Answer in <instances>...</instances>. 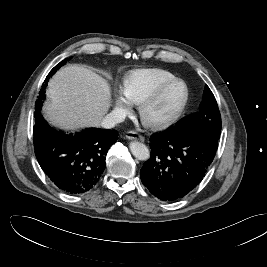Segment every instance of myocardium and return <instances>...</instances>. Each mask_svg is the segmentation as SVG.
Segmentation results:
<instances>
[{"label":"myocardium","instance_id":"f54148a6","mask_svg":"<svg viewBox=\"0 0 267 267\" xmlns=\"http://www.w3.org/2000/svg\"><path fill=\"white\" fill-rule=\"evenodd\" d=\"M182 87L183 95L180 101L168 112L161 115H154L153 109L165 98V96L175 88ZM189 101V89L183 81L176 80L144 99L138 108L139 117L142 123L152 129L165 128L182 115Z\"/></svg>","mask_w":267,"mask_h":267}]
</instances>
